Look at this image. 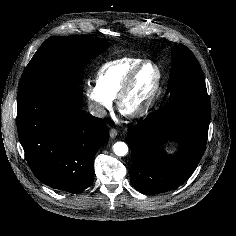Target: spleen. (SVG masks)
Listing matches in <instances>:
<instances>
[{
    "instance_id": "3e777b00",
    "label": "spleen",
    "mask_w": 236,
    "mask_h": 236,
    "mask_svg": "<svg viewBox=\"0 0 236 236\" xmlns=\"http://www.w3.org/2000/svg\"><path fill=\"white\" fill-rule=\"evenodd\" d=\"M167 152H171V150H170V149H167Z\"/></svg>"
}]
</instances>
